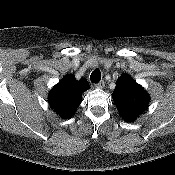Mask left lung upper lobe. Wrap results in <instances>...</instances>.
Returning a JSON list of instances; mask_svg holds the SVG:
<instances>
[{"mask_svg":"<svg viewBox=\"0 0 175 175\" xmlns=\"http://www.w3.org/2000/svg\"><path fill=\"white\" fill-rule=\"evenodd\" d=\"M112 95L121 117L127 122L135 121L150 102L145 89L128 74H122L118 78Z\"/></svg>","mask_w":175,"mask_h":175,"instance_id":"left-lung-upper-lobe-1","label":"left lung upper lobe"}]
</instances>
